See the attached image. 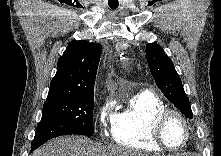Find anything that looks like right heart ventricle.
<instances>
[{
    "mask_svg": "<svg viewBox=\"0 0 221 156\" xmlns=\"http://www.w3.org/2000/svg\"><path fill=\"white\" fill-rule=\"evenodd\" d=\"M165 109L167 105L157 94L149 90L138 92L115 115L113 141L119 146L140 152L162 151L153 141L151 132L155 118Z\"/></svg>",
    "mask_w": 221,
    "mask_h": 156,
    "instance_id": "right-heart-ventricle-1",
    "label": "right heart ventricle"
}]
</instances>
